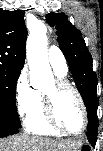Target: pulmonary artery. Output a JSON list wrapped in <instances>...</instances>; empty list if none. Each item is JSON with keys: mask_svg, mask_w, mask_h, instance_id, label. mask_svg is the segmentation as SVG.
<instances>
[{"mask_svg": "<svg viewBox=\"0 0 103 151\" xmlns=\"http://www.w3.org/2000/svg\"><path fill=\"white\" fill-rule=\"evenodd\" d=\"M48 60L52 68L60 73H66L68 70L64 54L57 46H51L48 50Z\"/></svg>", "mask_w": 103, "mask_h": 151, "instance_id": "obj_1", "label": "pulmonary artery"}]
</instances>
